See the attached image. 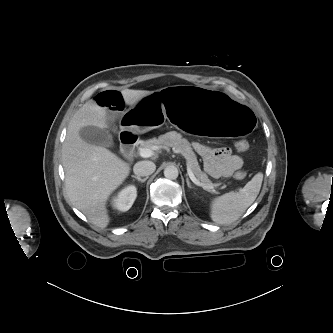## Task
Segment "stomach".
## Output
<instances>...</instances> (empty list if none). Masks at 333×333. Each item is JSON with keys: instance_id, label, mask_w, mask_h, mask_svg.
Wrapping results in <instances>:
<instances>
[{"instance_id": "0dacf381", "label": "stomach", "mask_w": 333, "mask_h": 333, "mask_svg": "<svg viewBox=\"0 0 333 333\" xmlns=\"http://www.w3.org/2000/svg\"><path fill=\"white\" fill-rule=\"evenodd\" d=\"M123 129L145 133L173 122L205 139L248 137L256 125L253 109L228 96L187 85L166 86L146 94L123 116Z\"/></svg>"}]
</instances>
